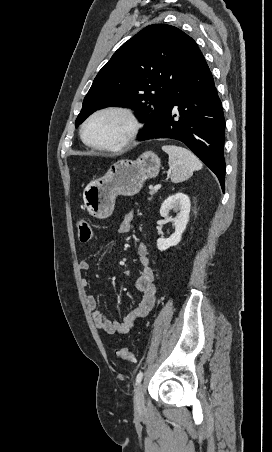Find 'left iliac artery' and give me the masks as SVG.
<instances>
[{
  "label": "left iliac artery",
  "mask_w": 272,
  "mask_h": 452,
  "mask_svg": "<svg viewBox=\"0 0 272 452\" xmlns=\"http://www.w3.org/2000/svg\"><path fill=\"white\" fill-rule=\"evenodd\" d=\"M142 377H143V372L140 371V372L137 374V376H136V383H137V384L141 382Z\"/></svg>",
  "instance_id": "1"
}]
</instances>
